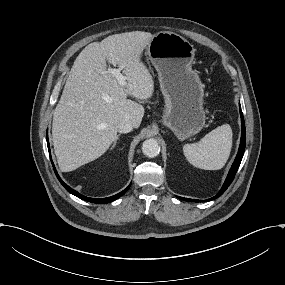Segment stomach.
<instances>
[{
    "label": "stomach",
    "mask_w": 285,
    "mask_h": 285,
    "mask_svg": "<svg viewBox=\"0 0 285 285\" xmlns=\"http://www.w3.org/2000/svg\"><path fill=\"white\" fill-rule=\"evenodd\" d=\"M147 55L158 72L165 99L163 124L181 141L197 134L206 116L204 85L192 69L193 45L174 32L161 31L150 40Z\"/></svg>",
    "instance_id": "obj_1"
}]
</instances>
